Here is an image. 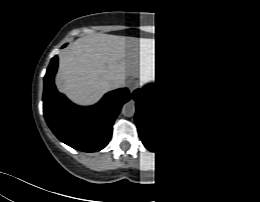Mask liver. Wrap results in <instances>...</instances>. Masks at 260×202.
<instances>
[{
	"instance_id": "obj_1",
	"label": "liver",
	"mask_w": 260,
	"mask_h": 202,
	"mask_svg": "<svg viewBox=\"0 0 260 202\" xmlns=\"http://www.w3.org/2000/svg\"><path fill=\"white\" fill-rule=\"evenodd\" d=\"M139 44L135 39L125 42L122 36L102 33L78 38L59 55L58 88L77 104L96 103L111 89V81L124 85L125 47L128 71L139 72L144 59Z\"/></svg>"
}]
</instances>
